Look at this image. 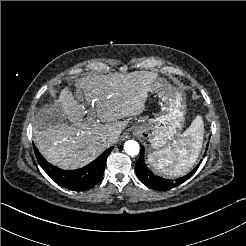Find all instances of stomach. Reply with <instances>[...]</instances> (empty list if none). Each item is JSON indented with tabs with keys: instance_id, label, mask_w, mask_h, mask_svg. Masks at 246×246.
Wrapping results in <instances>:
<instances>
[{
	"instance_id": "stomach-1",
	"label": "stomach",
	"mask_w": 246,
	"mask_h": 246,
	"mask_svg": "<svg viewBox=\"0 0 246 246\" xmlns=\"http://www.w3.org/2000/svg\"><path fill=\"white\" fill-rule=\"evenodd\" d=\"M151 93L161 99L162 109L155 119L134 128L133 135L148 139L154 149L166 146L181 130L184 122L185 100L181 92L164 78H158Z\"/></svg>"
}]
</instances>
